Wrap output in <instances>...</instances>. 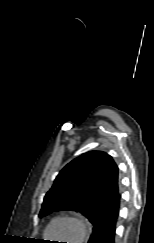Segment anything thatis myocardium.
<instances>
[{
    "mask_svg": "<svg viewBox=\"0 0 154 243\" xmlns=\"http://www.w3.org/2000/svg\"><path fill=\"white\" fill-rule=\"evenodd\" d=\"M59 221L70 222L75 226L76 238L74 241H68L67 243H82L87 234V226L85 222L78 216L62 214L54 217L46 227L45 234L48 236L52 226ZM69 240V239H68Z\"/></svg>",
    "mask_w": 154,
    "mask_h": 243,
    "instance_id": "f54148a6",
    "label": "myocardium"
}]
</instances>
